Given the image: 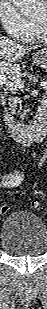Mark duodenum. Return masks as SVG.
<instances>
[{
    "instance_id": "obj_1",
    "label": "duodenum",
    "mask_w": 47,
    "mask_h": 309,
    "mask_svg": "<svg viewBox=\"0 0 47 309\" xmlns=\"http://www.w3.org/2000/svg\"><path fill=\"white\" fill-rule=\"evenodd\" d=\"M4 119L12 136L24 145L39 142L45 135L46 118L44 113L36 115L33 127L18 122L9 112L5 113Z\"/></svg>"
}]
</instances>
